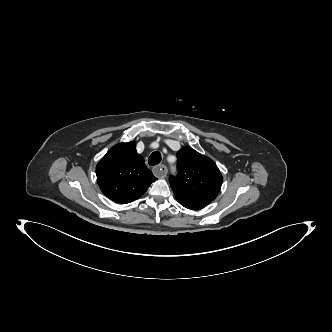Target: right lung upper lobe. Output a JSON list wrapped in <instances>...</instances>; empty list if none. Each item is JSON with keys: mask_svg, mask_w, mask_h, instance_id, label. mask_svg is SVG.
Instances as JSON below:
<instances>
[{"mask_svg": "<svg viewBox=\"0 0 332 332\" xmlns=\"http://www.w3.org/2000/svg\"><path fill=\"white\" fill-rule=\"evenodd\" d=\"M135 142L113 146L96 167L101 191L112 201L127 204L143 195L156 180L135 148Z\"/></svg>", "mask_w": 332, "mask_h": 332, "instance_id": "right-lung-upper-lobe-1", "label": "right lung upper lobe"}]
</instances>
